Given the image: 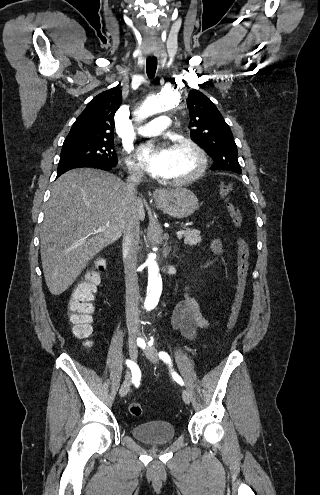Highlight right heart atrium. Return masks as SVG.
<instances>
[{
    "label": "right heart atrium",
    "instance_id": "right-heart-atrium-1",
    "mask_svg": "<svg viewBox=\"0 0 320 495\" xmlns=\"http://www.w3.org/2000/svg\"><path fill=\"white\" fill-rule=\"evenodd\" d=\"M126 166H127L129 173L132 176L138 177V176L142 175L141 166L138 163H136L135 161H133L132 159L128 158L126 160Z\"/></svg>",
    "mask_w": 320,
    "mask_h": 495
}]
</instances>
